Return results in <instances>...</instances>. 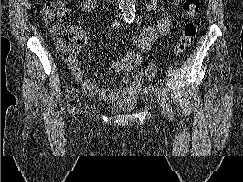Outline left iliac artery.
I'll use <instances>...</instances> for the list:
<instances>
[{"label":"left iliac artery","mask_w":243,"mask_h":182,"mask_svg":"<svg viewBox=\"0 0 243 182\" xmlns=\"http://www.w3.org/2000/svg\"><path fill=\"white\" fill-rule=\"evenodd\" d=\"M162 96L164 97L165 102H166V109H167L168 115H169L170 119L172 120L173 119V110H172V107L170 104V100H169L168 92H167L166 88H162Z\"/></svg>","instance_id":"obj_1"}]
</instances>
